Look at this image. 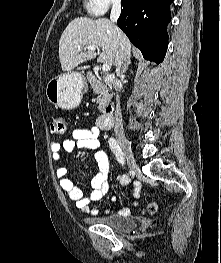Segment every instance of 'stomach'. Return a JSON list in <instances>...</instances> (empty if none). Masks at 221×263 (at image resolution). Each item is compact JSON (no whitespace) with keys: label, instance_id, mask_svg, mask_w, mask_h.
Here are the masks:
<instances>
[{"label":"stomach","instance_id":"obj_1","mask_svg":"<svg viewBox=\"0 0 221 263\" xmlns=\"http://www.w3.org/2000/svg\"><path fill=\"white\" fill-rule=\"evenodd\" d=\"M87 88L84 76L79 72H67L52 78L46 86V96L55 106L71 110L80 102Z\"/></svg>","mask_w":221,"mask_h":263}]
</instances>
